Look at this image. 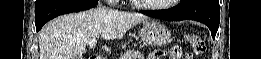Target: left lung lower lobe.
Segmentation results:
<instances>
[{"instance_id": "left-lung-lower-lobe-1", "label": "left lung lower lobe", "mask_w": 261, "mask_h": 59, "mask_svg": "<svg viewBox=\"0 0 261 59\" xmlns=\"http://www.w3.org/2000/svg\"><path fill=\"white\" fill-rule=\"evenodd\" d=\"M142 13L164 20H195L204 23L211 30V35L215 38L219 22L220 9L218 0H193L188 3L180 4L177 7L165 12L141 11Z\"/></svg>"}]
</instances>
